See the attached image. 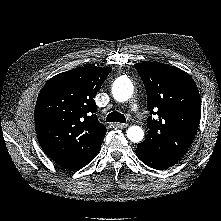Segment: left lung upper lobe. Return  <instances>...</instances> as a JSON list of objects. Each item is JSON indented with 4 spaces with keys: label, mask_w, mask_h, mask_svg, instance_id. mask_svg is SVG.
<instances>
[{
    "label": "left lung upper lobe",
    "mask_w": 221,
    "mask_h": 221,
    "mask_svg": "<svg viewBox=\"0 0 221 221\" xmlns=\"http://www.w3.org/2000/svg\"><path fill=\"white\" fill-rule=\"evenodd\" d=\"M145 85L148 110L146 139L139 143L146 150L178 161L192 142L200 122L198 88L185 71L162 63L134 65Z\"/></svg>",
    "instance_id": "5c2ea615"
}]
</instances>
